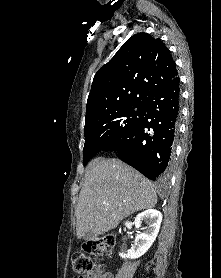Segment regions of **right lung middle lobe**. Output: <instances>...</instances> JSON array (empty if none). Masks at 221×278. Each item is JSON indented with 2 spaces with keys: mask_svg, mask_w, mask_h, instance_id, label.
I'll return each mask as SVG.
<instances>
[{
  "mask_svg": "<svg viewBox=\"0 0 221 278\" xmlns=\"http://www.w3.org/2000/svg\"><path fill=\"white\" fill-rule=\"evenodd\" d=\"M144 115V102H138L121 107L109 115L85 121L84 165L106 145L121 140L133 130Z\"/></svg>",
  "mask_w": 221,
  "mask_h": 278,
  "instance_id": "right-lung-middle-lobe-1",
  "label": "right lung middle lobe"
}]
</instances>
